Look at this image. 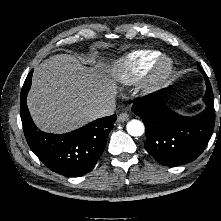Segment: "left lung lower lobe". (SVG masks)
Segmentation results:
<instances>
[{
    "instance_id": "0a47b994",
    "label": "left lung lower lobe",
    "mask_w": 221,
    "mask_h": 221,
    "mask_svg": "<svg viewBox=\"0 0 221 221\" xmlns=\"http://www.w3.org/2000/svg\"><path fill=\"white\" fill-rule=\"evenodd\" d=\"M205 110L198 116L183 117L171 111L163 100V90L138 99L133 112L146 127L145 149L165 166H176L195 160L207 146L215 122L214 97L205 72Z\"/></svg>"
}]
</instances>
